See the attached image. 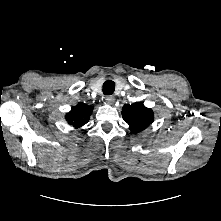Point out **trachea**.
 I'll use <instances>...</instances> for the list:
<instances>
[{
  "label": "trachea",
  "mask_w": 221,
  "mask_h": 221,
  "mask_svg": "<svg viewBox=\"0 0 221 221\" xmlns=\"http://www.w3.org/2000/svg\"><path fill=\"white\" fill-rule=\"evenodd\" d=\"M115 90V83L112 80H107L103 83V93L105 95H112Z\"/></svg>",
  "instance_id": "trachea-1"
}]
</instances>
